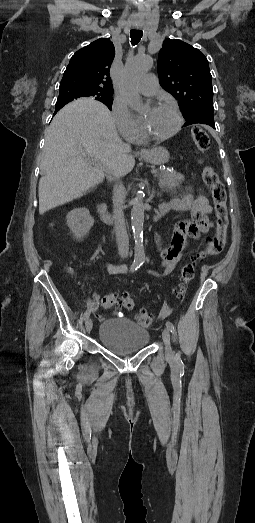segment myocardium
I'll return each mask as SVG.
<instances>
[{
    "mask_svg": "<svg viewBox=\"0 0 255 523\" xmlns=\"http://www.w3.org/2000/svg\"><path fill=\"white\" fill-rule=\"evenodd\" d=\"M164 105L170 106L175 111V114H176V117H177V124H176L174 130L172 132L166 134V135H163V136L149 137V136H147L145 134V132H144V130L142 128V125H141L140 126L139 136H138L140 138V140H142L144 142H162V141H165V140H168V139L174 137L181 130V128L183 126V123H184V118H183L182 112L180 111V109L177 106V104H175L172 101L165 100V101H160V102L156 103L152 107V109H157V108H159L161 106H164Z\"/></svg>",
    "mask_w": 255,
    "mask_h": 523,
    "instance_id": "myocardium-1",
    "label": "myocardium"
}]
</instances>
